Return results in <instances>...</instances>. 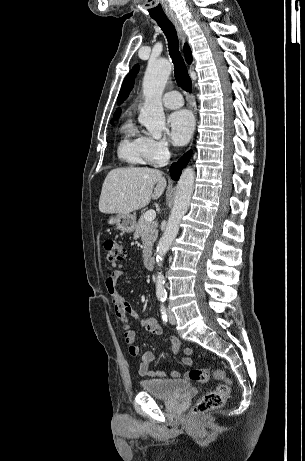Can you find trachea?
I'll use <instances>...</instances> for the list:
<instances>
[{
    "instance_id": "3493384b",
    "label": "trachea",
    "mask_w": 305,
    "mask_h": 461,
    "mask_svg": "<svg viewBox=\"0 0 305 461\" xmlns=\"http://www.w3.org/2000/svg\"><path fill=\"white\" fill-rule=\"evenodd\" d=\"M153 19L160 26L167 38L169 53L174 64L175 79L178 86L187 92H191L192 81L179 51V42L174 25L167 17Z\"/></svg>"
}]
</instances>
